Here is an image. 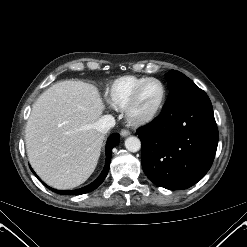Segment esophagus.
Masks as SVG:
<instances>
[{"instance_id":"1","label":"esophagus","mask_w":247,"mask_h":247,"mask_svg":"<svg viewBox=\"0 0 247 247\" xmlns=\"http://www.w3.org/2000/svg\"><path fill=\"white\" fill-rule=\"evenodd\" d=\"M120 134L122 137H126V136L130 135V131L126 130V129H122Z\"/></svg>"}]
</instances>
